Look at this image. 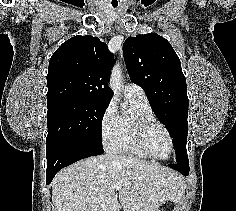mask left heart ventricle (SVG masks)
Instances as JSON below:
<instances>
[{
    "label": "left heart ventricle",
    "instance_id": "obj_1",
    "mask_svg": "<svg viewBox=\"0 0 236 211\" xmlns=\"http://www.w3.org/2000/svg\"><path fill=\"white\" fill-rule=\"evenodd\" d=\"M144 147L157 156H166L170 151V142L160 127L150 129L144 138Z\"/></svg>",
    "mask_w": 236,
    "mask_h": 211
}]
</instances>
